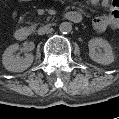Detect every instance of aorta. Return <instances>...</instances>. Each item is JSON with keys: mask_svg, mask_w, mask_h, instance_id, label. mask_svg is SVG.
I'll use <instances>...</instances> for the list:
<instances>
[{"mask_svg": "<svg viewBox=\"0 0 119 119\" xmlns=\"http://www.w3.org/2000/svg\"><path fill=\"white\" fill-rule=\"evenodd\" d=\"M59 30H60V32L67 34V33L71 32L72 24L70 22H62L59 25Z\"/></svg>", "mask_w": 119, "mask_h": 119, "instance_id": "762f6f07", "label": "aorta"}]
</instances>
